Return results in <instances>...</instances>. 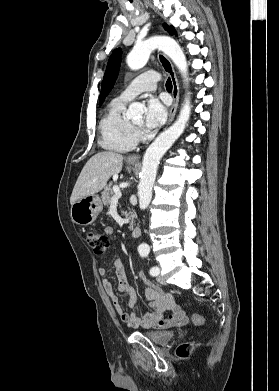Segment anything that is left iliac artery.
<instances>
[{
  "label": "left iliac artery",
  "mask_w": 279,
  "mask_h": 391,
  "mask_svg": "<svg viewBox=\"0 0 279 391\" xmlns=\"http://www.w3.org/2000/svg\"><path fill=\"white\" fill-rule=\"evenodd\" d=\"M139 253L142 257H146L149 253V250L141 249L139 250ZM160 270L158 267H152L149 271L150 275L157 276L159 274Z\"/></svg>",
  "instance_id": "44dca946"
}]
</instances>
